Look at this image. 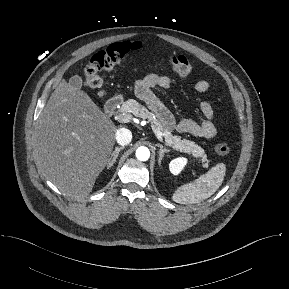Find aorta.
<instances>
[{
    "instance_id": "obj_1",
    "label": "aorta",
    "mask_w": 289,
    "mask_h": 289,
    "mask_svg": "<svg viewBox=\"0 0 289 289\" xmlns=\"http://www.w3.org/2000/svg\"><path fill=\"white\" fill-rule=\"evenodd\" d=\"M136 157L140 161H147L150 157V151L147 147L141 146L136 150Z\"/></svg>"
}]
</instances>
